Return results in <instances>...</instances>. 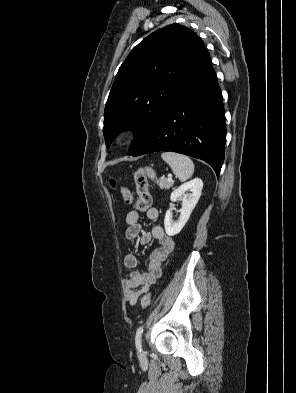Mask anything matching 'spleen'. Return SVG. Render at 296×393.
Segmentation results:
<instances>
[{
  "label": "spleen",
  "instance_id": "obj_1",
  "mask_svg": "<svg viewBox=\"0 0 296 393\" xmlns=\"http://www.w3.org/2000/svg\"><path fill=\"white\" fill-rule=\"evenodd\" d=\"M161 157L181 182L188 180L193 175L194 163L189 157L174 152H164Z\"/></svg>",
  "mask_w": 296,
  "mask_h": 393
}]
</instances>
